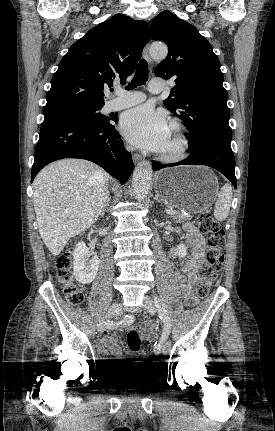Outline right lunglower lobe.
Masks as SVG:
<instances>
[{"mask_svg":"<svg viewBox=\"0 0 275 431\" xmlns=\"http://www.w3.org/2000/svg\"><path fill=\"white\" fill-rule=\"evenodd\" d=\"M112 121L117 122L118 116L103 124H92L74 117L45 118L35 150L31 182L50 162L81 158L98 164L124 184L134 164Z\"/></svg>","mask_w":275,"mask_h":431,"instance_id":"1","label":"right lung lower lobe"}]
</instances>
